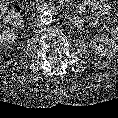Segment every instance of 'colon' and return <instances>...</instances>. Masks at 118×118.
<instances>
[{"label": "colon", "instance_id": "5ec220e1", "mask_svg": "<svg viewBox=\"0 0 118 118\" xmlns=\"http://www.w3.org/2000/svg\"><path fill=\"white\" fill-rule=\"evenodd\" d=\"M20 20V8L14 5L0 16V26H15Z\"/></svg>", "mask_w": 118, "mask_h": 118}]
</instances>
